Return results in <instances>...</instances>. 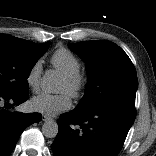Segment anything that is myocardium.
<instances>
[{
    "label": "myocardium",
    "mask_w": 156,
    "mask_h": 156,
    "mask_svg": "<svg viewBox=\"0 0 156 156\" xmlns=\"http://www.w3.org/2000/svg\"><path fill=\"white\" fill-rule=\"evenodd\" d=\"M63 79L69 87L68 94L74 99L80 98L86 87L85 74L78 71L71 75H64Z\"/></svg>",
    "instance_id": "1"
}]
</instances>
